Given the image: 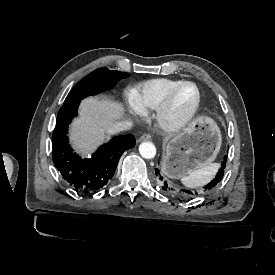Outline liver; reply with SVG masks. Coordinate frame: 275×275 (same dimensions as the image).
Returning a JSON list of instances; mask_svg holds the SVG:
<instances>
[{"mask_svg": "<svg viewBox=\"0 0 275 275\" xmlns=\"http://www.w3.org/2000/svg\"><path fill=\"white\" fill-rule=\"evenodd\" d=\"M121 112L117 104L107 100L88 99L83 101L80 119L73 124V139L76 148L87 154L100 143L104 132L113 125Z\"/></svg>", "mask_w": 275, "mask_h": 275, "instance_id": "obj_1", "label": "liver"}]
</instances>
